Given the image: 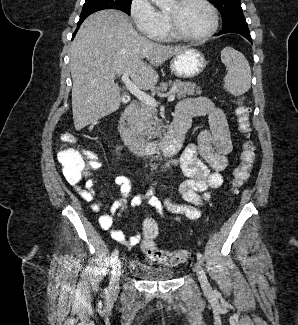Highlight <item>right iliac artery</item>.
<instances>
[{
	"label": "right iliac artery",
	"mask_w": 298,
	"mask_h": 325,
	"mask_svg": "<svg viewBox=\"0 0 298 325\" xmlns=\"http://www.w3.org/2000/svg\"><path fill=\"white\" fill-rule=\"evenodd\" d=\"M118 249H115L113 252H112V255H111V265L114 266L116 260H117V257H118Z\"/></svg>",
	"instance_id": "1"
}]
</instances>
